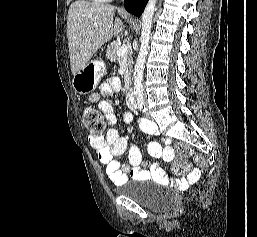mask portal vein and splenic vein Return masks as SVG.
I'll list each match as a JSON object with an SVG mask.
<instances>
[{
  "instance_id": "obj_1",
  "label": "portal vein and splenic vein",
  "mask_w": 257,
  "mask_h": 237,
  "mask_svg": "<svg viewBox=\"0 0 257 237\" xmlns=\"http://www.w3.org/2000/svg\"><path fill=\"white\" fill-rule=\"evenodd\" d=\"M128 49H129L128 45L123 44V45L117 50L116 54H117L118 56H123V55L127 54Z\"/></svg>"
}]
</instances>
